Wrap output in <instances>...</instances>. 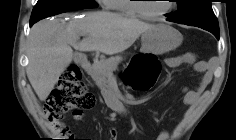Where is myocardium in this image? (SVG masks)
Masks as SVG:
<instances>
[{"instance_id": "myocardium-1", "label": "myocardium", "mask_w": 236, "mask_h": 140, "mask_svg": "<svg viewBox=\"0 0 236 140\" xmlns=\"http://www.w3.org/2000/svg\"><path fill=\"white\" fill-rule=\"evenodd\" d=\"M137 1H141V0H137ZM170 1H173V0H170ZM132 7H133L134 11L136 12V14L139 15L140 17H142V18H145V19H159V18L169 14L173 10L175 5L172 4V2H170L169 7L166 10H164L162 12H159V13L148 12L145 9L144 4H142L140 2H135Z\"/></svg>"}]
</instances>
